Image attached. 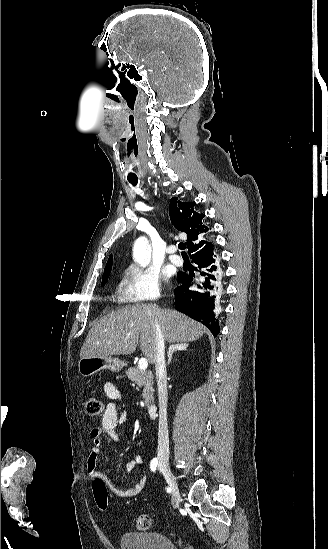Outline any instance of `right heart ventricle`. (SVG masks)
Segmentation results:
<instances>
[{"mask_svg":"<svg viewBox=\"0 0 328 549\" xmlns=\"http://www.w3.org/2000/svg\"><path fill=\"white\" fill-rule=\"evenodd\" d=\"M112 302L113 303H131V301L126 296V294L123 290L122 284H118L116 286V289L113 293Z\"/></svg>","mask_w":328,"mask_h":549,"instance_id":"obj_1","label":"right heart ventricle"}]
</instances>
